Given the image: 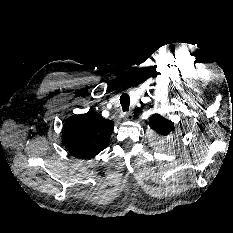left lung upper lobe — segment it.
I'll use <instances>...</instances> for the list:
<instances>
[{"label": "left lung upper lobe", "mask_w": 233, "mask_h": 233, "mask_svg": "<svg viewBox=\"0 0 233 233\" xmlns=\"http://www.w3.org/2000/svg\"><path fill=\"white\" fill-rule=\"evenodd\" d=\"M149 126L161 136H167L173 129L174 124L164 117L154 114L149 120Z\"/></svg>", "instance_id": "obj_1"}]
</instances>
